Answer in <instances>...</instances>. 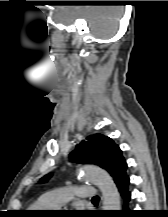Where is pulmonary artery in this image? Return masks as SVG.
Segmentation results:
<instances>
[{"instance_id": "obj_1", "label": "pulmonary artery", "mask_w": 168, "mask_h": 217, "mask_svg": "<svg viewBox=\"0 0 168 217\" xmlns=\"http://www.w3.org/2000/svg\"><path fill=\"white\" fill-rule=\"evenodd\" d=\"M97 188L92 186H67L47 191L40 200L51 209H59L75 199H91Z\"/></svg>"}]
</instances>
